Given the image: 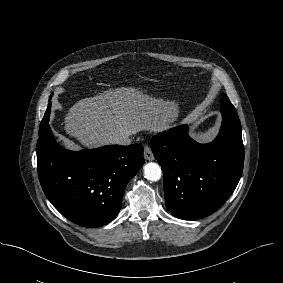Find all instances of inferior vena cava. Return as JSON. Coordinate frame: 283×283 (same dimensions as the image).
<instances>
[{
	"label": "inferior vena cava",
	"instance_id": "1",
	"mask_svg": "<svg viewBox=\"0 0 283 283\" xmlns=\"http://www.w3.org/2000/svg\"><path fill=\"white\" fill-rule=\"evenodd\" d=\"M110 142L116 145H129L132 142V138L130 137V134L128 133H120V134L113 136Z\"/></svg>",
	"mask_w": 283,
	"mask_h": 283
}]
</instances>
